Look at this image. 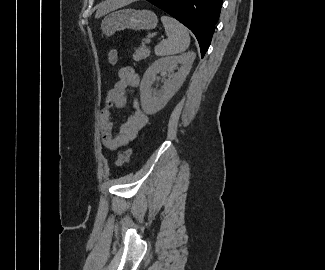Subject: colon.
<instances>
[{
    "mask_svg": "<svg viewBox=\"0 0 325 270\" xmlns=\"http://www.w3.org/2000/svg\"><path fill=\"white\" fill-rule=\"evenodd\" d=\"M118 58H119L118 51L116 49H111L108 53V63L110 65H115L118 62ZM131 154H132L131 149H127L123 152H120L116 160V165L121 166L124 163H126L129 160Z\"/></svg>",
    "mask_w": 325,
    "mask_h": 270,
    "instance_id": "colon-1",
    "label": "colon"
}]
</instances>
